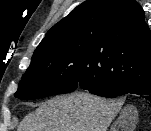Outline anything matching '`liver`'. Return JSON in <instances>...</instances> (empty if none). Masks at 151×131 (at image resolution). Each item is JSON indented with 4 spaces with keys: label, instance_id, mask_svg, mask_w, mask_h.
Returning <instances> with one entry per match:
<instances>
[{
    "label": "liver",
    "instance_id": "obj_1",
    "mask_svg": "<svg viewBox=\"0 0 151 131\" xmlns=\"http://www.w3.org/2000/svg\"><path fill=\"white\" fill-rule=\"evenodd\" d=\"M121 104L83 92L42 103L17 131H107Z\"/></svg>",
    "mask_w": 151,
    "mask_h": 131
}]
</instances>
